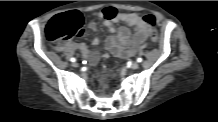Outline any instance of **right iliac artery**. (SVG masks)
<instances>
[{
  "label": "right iliac artery",
  "instance_id": "right-iliac-artery-1",
  "mask_svg": "<svg viewBox=\"0 0 218 122\" xmlns=\"http://www.w3.org/2000/svg\"><path fill=\"white\" fill-rule=\"evenodd\" d=\"M70 60H71V62H75V61H76V59H75V58H71Z\"/></svg>",
  "mask_w": 218,
  "mask_h": 122
}]
</instances>
